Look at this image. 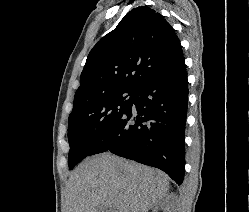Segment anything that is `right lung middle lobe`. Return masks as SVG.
<instances>
[{
    "mask_svg": "<svg viewBox=\"0 0 249 212\" xmlns=\"http://www.w3.org/2000/svg\"><path fill=\"white\" fill-rule=\"evenodd\" d=\"M133 94L130 91L110 93L73 108L68 119L69 169L94 155L112 126L131 106Z\"/></svg>",
    "mask_w": 249,
    "mask_h": 212,
    "instance_id": "obj_1",
    "label": "right lung middle lobe"
}]
</instances>
